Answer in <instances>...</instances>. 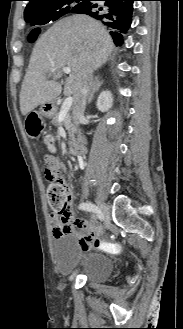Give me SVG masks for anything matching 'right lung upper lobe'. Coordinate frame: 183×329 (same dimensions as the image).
<instances>
[{
  "mask_svg": "<svg viewBox=\"0 0 183 329\" xmlns=\"http://www.w3.org/2000/svg\"><path fill=\"white\" fill-rule=\"evenodd\" d=\"M29 3L25 8L24 17L26 18H38L47 14L51 7L64 0H28Z\"/></svg>",
  "mask_w": 183,
  "mask_h": 329,
  "instance_id": "1",
  "label": "right lung upper lobe"
}]
</instances>
